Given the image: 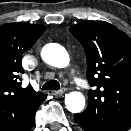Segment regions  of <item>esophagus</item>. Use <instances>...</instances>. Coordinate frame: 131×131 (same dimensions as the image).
<instances>
[{"label":"esophagus","mask_w":131,"mask_h":131,"mask_svg":"<svg viewBox=\"0 0 131 131\" xmlns=\"http://www.w3.org/2000/svg\"><path fill=\"white\" fill-rule=\"evenodd\" d=\"M65 92V89H61V90H58V91H52V94L54 96H61L62 94H64Z\"/></svg>","instance_id":"esophagus-1"}]
</instances>
